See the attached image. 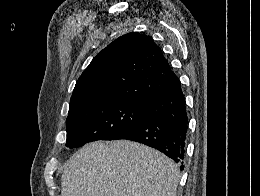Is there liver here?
Returning <instances> with one entry per match:
<instances>
[{"mask_svg": "<svg viewBox=\"0 0 260 196\" xmlns=\"http://www.w3.org/2000/svg\"><path fill=\"white\" fill-rule=\"evenodd\" d=\"M177 164L138 142H91L73 154L62 196H176Z\"/></svg>", "mask_w": 260, "mask_h": 196, "instance_id": "1", "label": "liver"}]
</instances>
